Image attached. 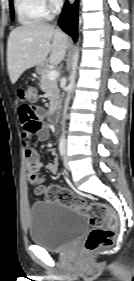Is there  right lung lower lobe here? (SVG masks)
<instances>
[{
    "mask_svg": "<svg viewBox=\"0 0 134 281\" xmlns=\"http://www.w3.org/2000/svg\"><path fill=\"white\" fill-rule=\"evenodd\" d=\"M77 22H78V0L72 7L69 6L68 2L65 3L62 14L59 19L60 27L72 38L77 40Z\"/></svg>",
    "mask_w": 134,
    "mask_h": 281,
    "instance_id": "1",
    "label": "right lung lower lobe"
}]
</instances>
